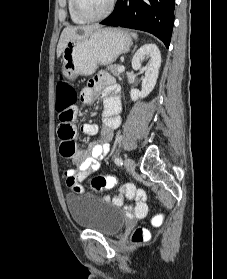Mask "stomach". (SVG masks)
<instances>
[{
  "mask_svg": "<svg viewBox=\"0 0 227 279\" xmlns=\"http://www.w3.org/2000/svg\"><path fill=\"white\" fill-rule=\"evenodd\" d=\"M131 36L122 29L100 28L87 37L69 41L62 53V74L69 80L92 75L98 65H109L127 53Z\"/></svg>",
  "mask_w": 227,
  "mask_h": 279,
  "instance_id": "1",
  "label": "stomach"
}]
</instances>
